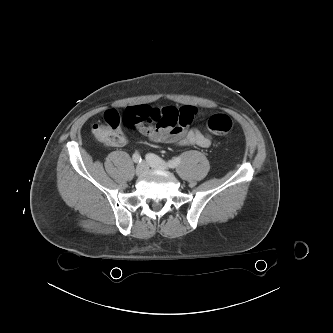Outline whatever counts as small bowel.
<instances>
[{"label": "small bowel", "instance_id": "1", "mask_svg": "<svg viewBox=\"0 0 333 333\" xmlns=\"http://www.w3.org/2000/svg\"><path fill=\"white\" fill-rule=\"evenodd\" d=\"M126 119L135 132L155 143H169L180 146L209 147L211 138L198 129L190 128L197 115L196 108L166 106L153 108L134 106L126 109ZM126 135L118 130L111 146L121 147L127 143Z\"/></svg>", "mask_w": 333, "mask_h": 333}]
</instances>
